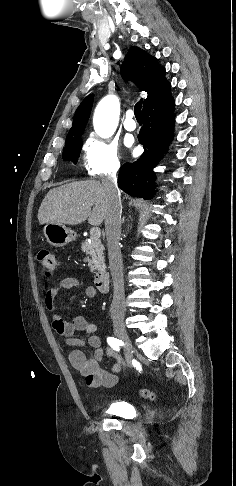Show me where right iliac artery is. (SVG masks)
Segmentation results:
<instances>
[{
  "instance_id": "right-iliac-artery-1",
  "label": "right iliac artery",
  "mask_w": 236,
  "mask_h": 486,
  "mask_svg": "<svg viewBox=\"0 0 236 486\" xmlns=\"http://www.w3.org/2000/svg\"><path fill=\"white\" fill-rule=\"evenodd\" d=\"M107 342L108 344L116 351H119L120 350V343H121V340L119 339H116L114 337H108L107 338Z\"/></svg>"
}]
</instances>
